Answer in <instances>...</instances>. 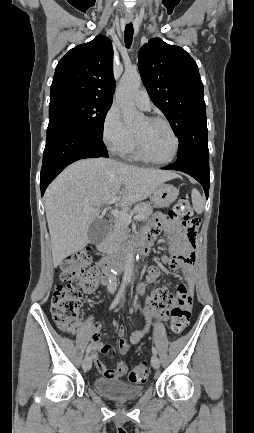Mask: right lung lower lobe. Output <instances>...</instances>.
<instances>
[{
    "instance_id": "98d812e1",
    "label": "right lung lower lobe",
    "mask_w": 254,
    "mask_h": 433,
    "mask_svg": "<svg viewBox=\"0 0 254 433\" xmlns=\"http://www.w3.org/2000/svg\"><path fill=\"white\" fill-rule=\"evenodd\" d=\"M93 157H108L101 137L69 121L60 118L51 119L43 153L41 196L65 167L77 160Z\"/></svg>"
}]
</instances>
